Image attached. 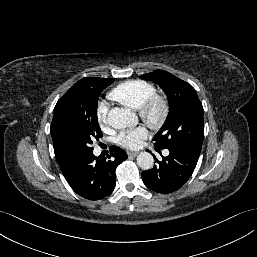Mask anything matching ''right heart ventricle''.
<instances>
[{"label": "right heart ventricle", "instance_id": "obj_1", "mask_svg": "<svg viewBox=\"0 0 257 257\" xmlns=\"http://www.w3.org/2000/svg\"><path fill=\"white\" fill-rule=\"evenodd\" d=\"M155 92V87L150 82L129 80L114 87L108 93V97L126 107L137 110Z\"/></svg>", "mask_w": 257, "mask_h": 257}]
</instances>
